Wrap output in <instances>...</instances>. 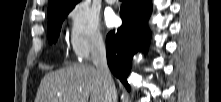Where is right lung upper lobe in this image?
Listing matches in <instances>:
<instances>
[{
  "label": "right lung upper lobe",
  "mask_w": 221,
  "mask_h": 102,
  "mask_svg": "<svg viewBox=\"0 0 221 102\" xmlns=\"http://www.w3.org/2000/svg\"><path fill=\"white\" fill-rule=\"evenodd\" d=\"M80 0H49L48 5V19L54 16L57 12L67 9L74 8L75 4Z\"/></svg>",
  "instance_id": "cb5924a9"
}]
</instances>
